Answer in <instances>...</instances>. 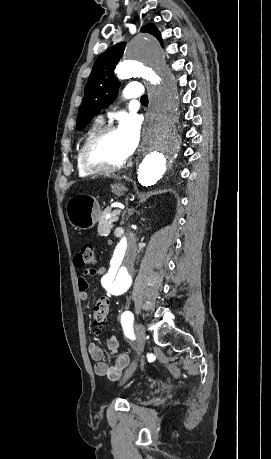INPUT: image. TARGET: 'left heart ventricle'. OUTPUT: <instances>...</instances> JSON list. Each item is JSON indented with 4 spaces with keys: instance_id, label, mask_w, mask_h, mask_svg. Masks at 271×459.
Returning <instances> with one entry per match:
<instances>
[{
    "instance_id": "b2bd125f",
    "label": "left heart ventricle",
    "mask_w": 271,
    "mask_h": 459,
    "mask_svg": "<svg viewBox=\"0 0 271 459\" xmlns=\"http://www.w3.org/2000/svg\"><path fill=\"white\" fill-rule=\"evenodd\" d=\"M97 151L112 159H120L130 154L127 144L118 129L98 145Z\"/></svg>"
}]
</instances>
